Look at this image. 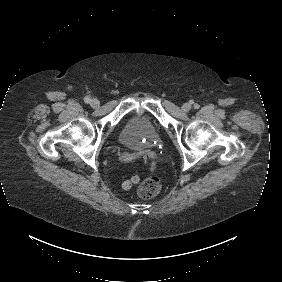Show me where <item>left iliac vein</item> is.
Returning a JSON list of instances; mask_svg holds the SVG:
<instances>
[{
    "mask_svg": "<svg viewBox=\"0 0 282 282\" xmlns=\"http://www.w3.org/2000/svg\"><path fill=\"white\" fill-rule=\"evenodd\" d=\"M190 109H191V104H190V103H185V104H183L182 110H183L184 112H188Z\"/></svg>",
    "mask_w": 282,
    "mask_h": 282,
    "instance_id": "left-iliac-vein-1",
    "label": "left iliac vein"
}]
</instances>
